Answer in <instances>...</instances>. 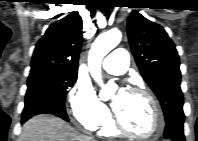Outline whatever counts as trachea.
Returning <instances> with one entry per match:
<instances>
[{
    "label": "trachea",
    "instance_id": "1",
    "mask_svg": "<svg viewBox=\"0 0 198 141\" xmlns=\"http://www.w3.org/2000/svg\"><path fill=\"white\" fill-rule=\"evenodd\" d=\"M111 6H105V8L109 9Z\"/></svg>",
    "mask_w": 198,
    "mask_h": 141
}]
</instances>
